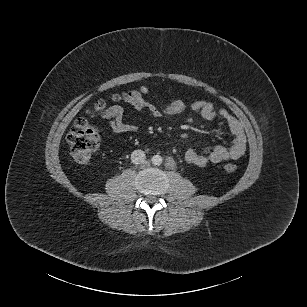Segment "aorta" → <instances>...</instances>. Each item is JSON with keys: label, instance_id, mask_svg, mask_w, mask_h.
Masks as SVG:
<instances>
[{"label": "aorta", "instance_id": "aorta-1", "mask_svg": "<svg viewBox=\"0 0 307 307\" xmlns=\"http://www.w3.org/2000/svg\"><path fill=\"white\" fill-rule=\"evenodd\" d=\"M151 162H152L153 165L159 166V165L162 164L163 158H162V156H160V155H154V156L151 158Z\"/></svg>", "mask_w": 307, "mask_h": 307}]
</instances>
